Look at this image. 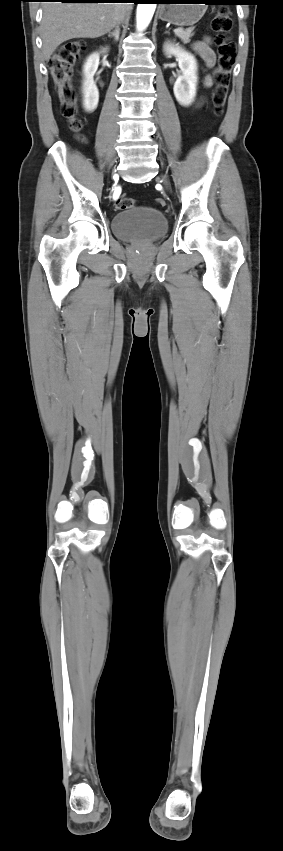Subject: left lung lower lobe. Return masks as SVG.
Returning a JSON list of instances; mask_svg holds the SVG:
<instances>
[{
  "instance_id": "0a47b994",
  "label": "left lung lower lobe",
  "mask_w": 283,
  "mask_h": 851,
  "mask_svg": "<svg viewBox=\"0 0 283 851\" xmlns=\"http://www.w3.org/2000/svg\"><path fill=\"white\" fill-rule=\"evenodd\" d=\"M149 1H151L152 3L159 4V3H166V1H170V0H149ZM217 1L223 2L224 4H228V5H235L237 2H239V0H217Z\"/></svg>"
}]
</instances>
